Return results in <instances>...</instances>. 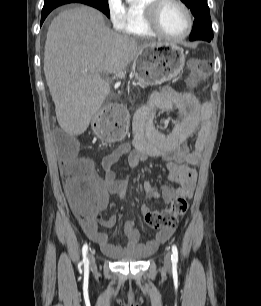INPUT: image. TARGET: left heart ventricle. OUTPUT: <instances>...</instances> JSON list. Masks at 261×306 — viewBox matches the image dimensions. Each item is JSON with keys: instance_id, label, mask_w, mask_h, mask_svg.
<instances>
[{"instance_id": "left-heart-ventricle-1", "label": "left heart ventricle", "mask_w": 261, "mask_h": 306, "mask_svg": "<svg viewBox=\"0 0 261 306\" xmlns=\"http://www.w3.org/2000/svg\"><path fill=\"white\" fill-rule=\"evenodd\" d=\"M158 22L162 30L170 36H181L187 28L183 10L175 3H165L159 10Z\"/></svg>"}]
</instances>
